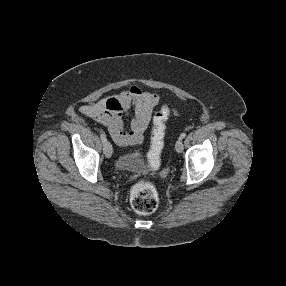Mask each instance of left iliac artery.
I'll return each instance as SVG.
<instances>
[{
	"label": "left iliac artery",
	"mask_w": 286,
	"mask_h": 286,
	"mask_svg": "<svg viewBox=\"0 0 286 286\" xmlns=\"http://www.w3.org/2000/svg\"><path fill=\"white\" fill-rule=\"evenodd\" d=\"M186 137V133L185 132H183L181 135H180V139H184Z\"/></svg>",
	"instance_id": "obj_1"
}]
</instances>
